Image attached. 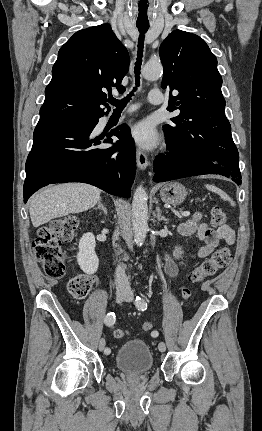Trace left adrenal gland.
I'll return each mask as SVG.
<instances>
[{"mask_svg":"<svg viewBox=\"0 0 262 431\" xmlns=\"http://www.w3.org/2000/svg\"><path fill=\"white\" fill-rule=\"evenodd\" d=\"M156 211H157V220L158 221H166V222L168 221L167 218H165L164 216L161 215V210H160L159 206L156 208Z\"/></svg>","mask_w":262,"mask_h":431,"instance_id":"a2214340","label":"left adrenal gland"}]
</instances>
